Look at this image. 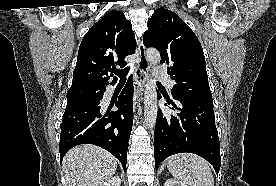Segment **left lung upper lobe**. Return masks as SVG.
<instances>
[{
  "label": "left lung upper lobe",
  "instance_id": "obj_1",
  "mask_svg": "<svg viewBox=\"0 0 276 186\" xmlns=\"http://www.w3.org/2000/svg\"><path fill=\"white\" fill-rule=\"evenodd\" d=\"M145 47L161 53L160 64H168V74L176 81L175 99H212L202 46L194 32L174 12L158 8L147 23Z\"/></svg>",
  "mask_w": 276,
  "mask_h": 186
}]
</instances>
